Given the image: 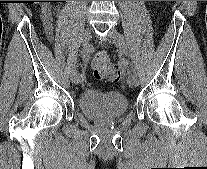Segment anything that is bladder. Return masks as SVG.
Here are the masks:
<instances>
[{"label": "bladder", "instance_id": "obj_1", "mask_svg": "<svg viewBox=\"0 0 207 169\" xmlns=\"http://www.w3.org/2000/svg\"><path fill=\"white\" fill-rule=\"evenodd\" d=\"M80 111L95 120H113L122 117L128 110L126 96L117 91H102L88 88L78 98Z\"/></svg>", "mask_w": 207, "mask_h": 169}]
</instances>
